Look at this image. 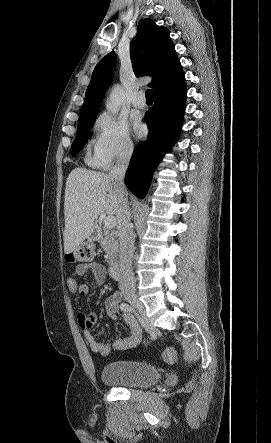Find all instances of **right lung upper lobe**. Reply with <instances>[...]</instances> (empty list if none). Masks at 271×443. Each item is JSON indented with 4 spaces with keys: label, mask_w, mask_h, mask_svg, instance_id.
<instances>
[{
    "label": "right lung upper lobe",
    "mask_w": 271,
    "mask_h": 443,
    "mask_svg": "<svg viewBox=\"0 0 271 443\" xmlns=\"http://www.w3.org/2000/svg\"><path fill=\"white\" fill-rule=\"evenodd\" d=\"M169 33L167 28L145 18L139 22L137 34L130 43L134 73L136 76L152 77L149 86L153 88V93L184 78ZM115 64L116 54L112 51L95 66L79 119L97 116L101 99L112 81Z\"/></svg>",
    "instance_id": "1"
}]
</instances>
